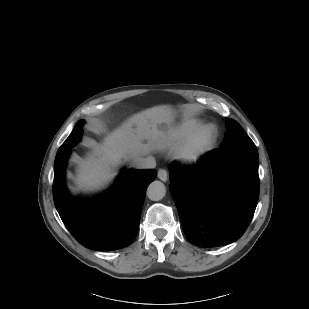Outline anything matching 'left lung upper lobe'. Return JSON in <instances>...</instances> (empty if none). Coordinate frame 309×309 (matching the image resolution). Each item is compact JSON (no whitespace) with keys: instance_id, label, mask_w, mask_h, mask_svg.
I'll return each mask as SVG.
<instances>
[{"instance_id":"obj_1","label":"left lung upper lobe","mask_w":309,"mask_h":309,"mask_svg":"<svg viewBox=\"0 0 309 309\" xmlns=\"http://www.w3.org/2000/svg\"><path fill=\"white\" fill-rule=\"evenodd\" d=\"M226 123L227 131L221 148H229L239 144L253 142L235 120L226 118Z\"/></svg>"}]
</instances>
